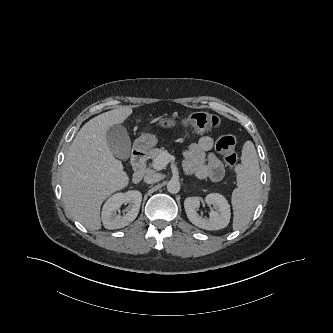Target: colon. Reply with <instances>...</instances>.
<instances>
[{
    "label": "colon",
    "mask_w": 333,
    "mask_h": 333,
    "mask_svg": "<svg viewBox=\"0 0 333 333\" xmlns=\"http://www.w3.org/2000/svg\"><path fill=\"white\" fill-rule=\"evenodd\" d=\"M183 124L194 131H208L220 126V119L204 112H196L183 119ZM216 150L222 155L225 163L232 167L237 162L236 139L230 133L218 136Z\"/></svg>",
    "instance_id": "1"
}]
</instances>
